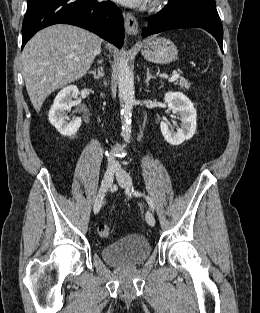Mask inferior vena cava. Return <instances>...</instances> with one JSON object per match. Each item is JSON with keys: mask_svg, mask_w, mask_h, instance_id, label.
I'll list each match as a JSON object with an SVG mask.
<instances>
[{"mask_svg": "<svg viewBox=\"0 0 260 313\" xmlns=\"http://www.w3.org/2000/svg\"><path fill=\"white\" fill-rule=\"evenodd\" d=\"M108 166L111 167V168L117 167L118 163L113 158H109L108 159Z\"/></svg>", "mask_w": 260, "mask_h": 313, "instance_id": "inferior-vena-cava-1", "label": "inferior vena cava"}]
</instances>
